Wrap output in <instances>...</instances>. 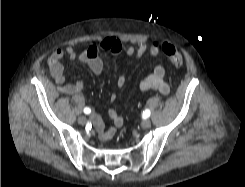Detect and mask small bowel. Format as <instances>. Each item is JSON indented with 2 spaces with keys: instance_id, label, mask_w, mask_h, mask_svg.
I'll use <instances>...</instances> for the list:
<instances>
[{
  "instance_id": "obj_1",
  "label": "small bowel",
  "mask_w": 245,
  "mask_h": 187,
  "mask_svg": "<svg viewBox=\"0 0 245 187\" xmlns=\"http://www.w3.org/2000/svg\"><path fill=\"white\" fill-rule=\"evenodd\" d=\"M164 43L154 42L151 45H147L142 42L137 47H128L125 52L128 56L138 59L145 54L156 56L162 51V45ZM123 47L118 39L112 36L104 38L100 44H92L85 49L77 51L72 46H67L64 49L55 50L47 59V65L49 67L52 78L57 84V90L61 94L81 96L84 92L85 82L83 79L78 80L75 83H66V76L64 73V60H77L85 63L89 66L91 71L95 75H100L104 70V64L100 58L101 51H107L112 53L122 52ZM165 68L161 65H156L150 74L143 78L139 84L141 91H157L162 95H168L170 93V86L165 81ZM126 83L125 76L121 75L117 79V86L119 88L124 87ZM110 99L114 101L116 94L112 93ZM108 115L113 122V126L105 127V124L101 117L97 114H93L91 122L99 133V138L102 141H107L112 138L116 132V128L122 126L123 118L114 110H109Z\"/></svg>"
}]
</instances>
